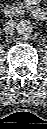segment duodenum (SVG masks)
I'll list each match as a JSON object with an SVG mask.
<instances>
[{"instance_id":"1","label":"duodenum","mask_w":47,"mask_h":129,"mask_svg":"<svg viewBox=\"0 0 47 129\" xmlns=\"http://www.w3.org/2000/svg\"><path fill=\"white\" fill-rule=\"evenodd\" d=\"M4 12L8 17L14 18L21 16L23 10L14 4H7L4 8ZM33 13L35 17L40 20L44 19L46 16L45 11L39 7L35 8Z\"/></svg>"}]
</instances>
